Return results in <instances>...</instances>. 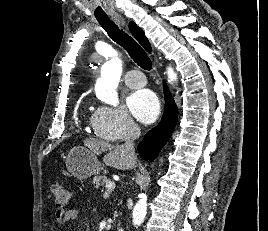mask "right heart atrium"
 <instances>
[{"instance_id":"d8ad5b80","label":"right heart atrium","mask_w":268,"mask_h":231,"mask_svg":"<svg viewBox=\"0 0 268 231\" xmlns=\"http://www.w3.org/2000/svg\"><path fill=\"white\" fill-rule=\"evenodd\" d=\"M91 126L95 135L103 140L118 142L130 138L136 124L123 107L99 105L92 114Z\"/></svg>"}]
</instances>
